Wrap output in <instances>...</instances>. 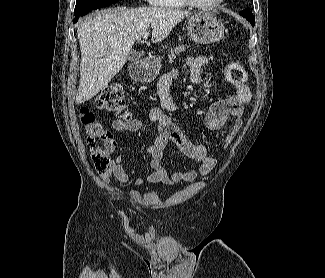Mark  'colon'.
Listing matches in <instances>:
<instances>
[{
  "mask_svg": "<svg viewBox=\"0 0 325 278\" xmlns=\"http://www.w3.org/2000/svg\"><path fill=\"white\" fill-rule=\"evenodd\" d=\"M226 78L233 85H242L247 79L244 68L237 62L226 67ZM94 107L109 112L117 120H129L130 113L126 105L125 92L119 85H111L103 89L95 97ZM80 121L84 127L87 144L95 168L99 172L107 171L111 166V156L116 144L110 131L96 118L92 108L80 109Z\"/></svg>",
  "mask_w": 325,
  "mask_h": 278,
  "instance_id": "1",
  "label": "colon"
}]
</instances>
